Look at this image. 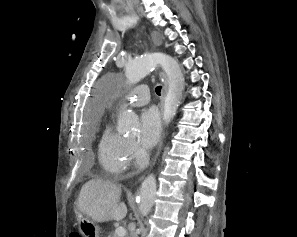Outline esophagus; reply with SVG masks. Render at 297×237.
Listing matches in <instances>:
<instances>
[{
  "instance_id": "esophagus-1",
  "label": "esophagus",
  "mask_w": 297,
  "mask_h": 237,
  "mask_svg": "<svg viewBox=\"0 0 297 237\" xmlns=\"http://www.w3.org/2000/svg\"><path fill=\"white\" fill-rule=\"evenodd\" d=\"M168 89V82L166 76H164L163 80V89H162V96H161V108H163L164 99Z\"/></svg>"
}]
</instances>
